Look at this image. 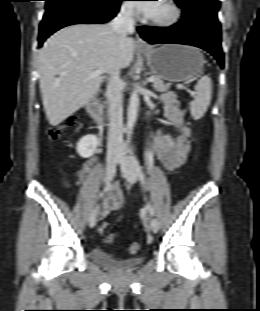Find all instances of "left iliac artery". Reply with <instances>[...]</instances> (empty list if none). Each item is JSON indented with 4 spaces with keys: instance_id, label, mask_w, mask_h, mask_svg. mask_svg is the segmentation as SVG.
<instances>
[{
    "instance_id": "44dca946",
    "label": "left iliac artery",
    "mask_w": 260,
    "mask_h": 311,
    "mask_svg": "<svg viewBox=\"0 0 260 311\" xmlns=\"http://www.w3.org/2000/svg\"><path fill=\"white\" fill-rule=\"evenodd\" d=\"M133 154V153H132ZM132 161H133V164L135 166V170H136V173L141 181V183L146 186V181H145V177H144V174L142 172V169H141V166L139 164V161L137 159V157L133 154L132 156ZM147 209L149 210L150 214L153 216L155 214L153 208L151 207V205L148 203L147 204Z\"/></svg>"
}]
</instances>
